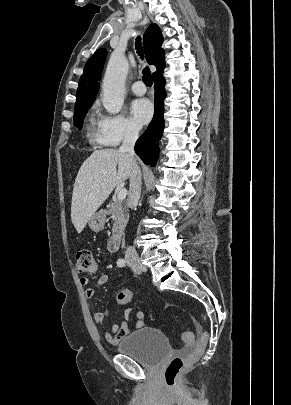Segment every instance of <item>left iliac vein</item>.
<instances>
[{"instance_id":"obj_1","label":"left iliac vein","mask_w":291,"mask_h":405,"mask_svg":"<svg viewBox=\"0 0 291 405\" xmlns=\"http://www.w3.org/2000/svg\"><path fill=\"white\" fill-rule=\"evenodd\" d=\"M132 269H133V271H134L135 273H137V274H140V273H141V270H140V269H137V268H135V267H132Z\"/></svg>"}]
</instances>
